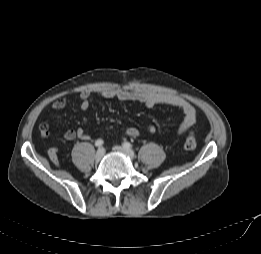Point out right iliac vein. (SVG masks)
<instances>
[{"label": "right iliac vein", "instance_id": "1", "mask_svg": "<svg viewBox=\"0 0 261 254\" xmlns=\"http://www.w3.org/2000/svg\"><path fill=\"white\" fill-rule=\"evenodd\" d=\"M105 154V150L103 148H99L95 154L96 162H99Z\"/></svg>", "mask_w": 261, "mask_h": 254}]
</instances>
